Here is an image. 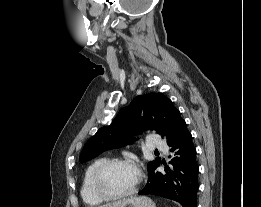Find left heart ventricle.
Wrapping results in <instances>:
<instances>
[{"label": "left heart ventricle", "mask_w": 261, "mask_h": 207, "mask_svg": "<svg viewBox=\"0 0 261 207\" xmlns=\"http://www.w3.org/2000/svg\"><path fill=\"white\" fill-rule=\"evenodd\" d=\"M137 180V172L129 165H115L109 168L102 179L104 189L111 194L130 190Z\"/></svg>", "instance_id": "b2bd125f"}]
</instances>
